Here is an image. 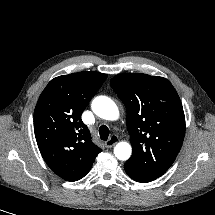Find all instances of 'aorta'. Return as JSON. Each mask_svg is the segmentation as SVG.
<instances>
[{
    "instance_id": "obj_1",
    "label": "aorta",
    "mask_w": 215,
    "mask_h": 215,
    "mask_svg": "<svg viewBox=\"0 0 215 215\" xmlns=\"http://www.w3.org/2000/svg\"><path fill=\"white\" fill-rule=\"evenodd\" d=\"M93 112L106 120H116L119 116L117 105L106 96H98L92 102ZM132 148L127 142H120L114 148V154L119 160H127L130 158Z\"/></svg>"
}]
</instances>
